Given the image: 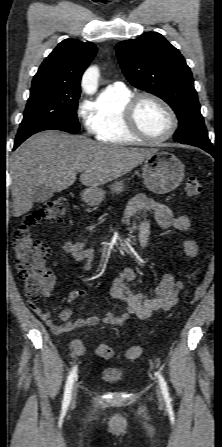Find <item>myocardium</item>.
Wrapping results in <instances>:
<instances>
[{
  "mask_svg": "<svg viewBox=\"0 0 222 447\" xmlns=\"http://www.w3.org/2000/svg\"><path fill=\"white\" fill-rule=\"evenodd\" d=\"M149 99L151 101L156 102L159 104L169 115L171 126L169 131L162 137L154 138L146 134L141 127L138 124L137 121V110L140 105V103L145 100ZM123 118L124 123L128 130L134 134L136 137L142 139L143 141L149 142V143H161L164 141L169 140L176 132L178 128V118L173 110V108L170 106V104L165 101L162 97L150 93V92H142L133 95L128 102L125 105L124 112H123Z\"/></svg>",
  "mask_w": 222,
  "mask_h": 447,
  "instance_id": "obj_1",
  "label": "myocardium"
}]
</instances>
